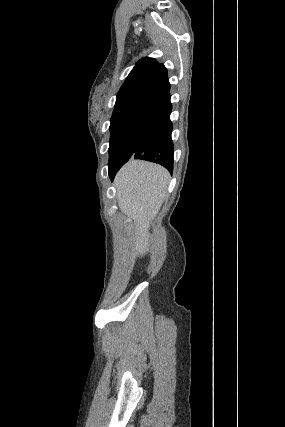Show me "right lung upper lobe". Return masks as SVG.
<instances>
[{
  "instance_id": "1",
  "label": "right lung upper lobe",
  "mask_w": 285,
  "mask_h": 427,
  "mask_svg": "<svg viewBox=\"0 0 285 427\" xmlns=\"http://www.w3.org/2000/svg\"><path fill=\"white\" fill-rule=\"evenodd\" d=\"M167 69L153 58H143L121 86L110 122L147 113L170 98Z\"/></svg>"
}]
</instances>
